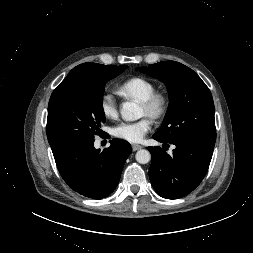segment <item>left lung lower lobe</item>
I'll use <instances>...</instances> for the list:
<instances>
[{"mask_svg": "<svg viewBox=\"0 0 253 253\" xmlns=\"http://www.w3.org/2000/svg\"><path fill=\"white\" fill-rule=\"evenodd\" d=\"M162 143L167 141L153 136ZM176 148L168 155L160 147H148L151 153L149 177L155 191L163 198L177 199L192 192L203 180L212 158L214 145L196 139L172 142Z\"/></svg>", "mask_w": 253, "mask_h": 253, "instance_id": "1", "label": "left lung lower lobe"}]
</instances>
